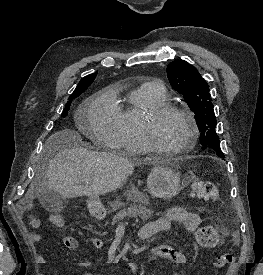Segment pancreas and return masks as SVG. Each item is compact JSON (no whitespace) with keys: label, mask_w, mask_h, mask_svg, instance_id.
Segmentation results:
<instances>
[{"label":"pancreas","mask_w":263,"mask_h":275,"mask_svg":"<svg viewBox=\"0 0 263 275\" xmlns=\"http://www.w3.org/2000/svg\"><path fill=\"white\" fill-rule=\"evenodd\" d=\"M127 201H132L138 204H130L129 207H127V203H121L120 207H122V209L114 215L112 220L113 225L126 217H140L143 220H147L152 217L154 211L146 207L149 204V197L146 194H143L137 190L129 192L127 195ZM156 215L159 214L157 213Z\"/></svg>","instance_id":"cf45deb5"}]
</instances>
